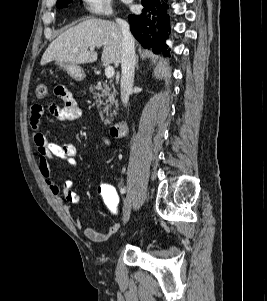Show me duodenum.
I'll return each instance as SVG.
<instances>
[{
  "mask_svg": "<svg viewBox=\"0 0 267 301\" xmlns=\"http://www.w3.org/2000/svg\"><path fill=\"white\" fill-rule=\"evenodd\" d=\"M126 129V123L124 120H120L113 124L110 128V135L112 137L118 138L122 136V134L125 132Z\"/></svg>",
  "mask_w": 267,
  "mask_h": 301,
  "instance_id": "obj_1",
  "label": "duodenum"
}]
</instances>
